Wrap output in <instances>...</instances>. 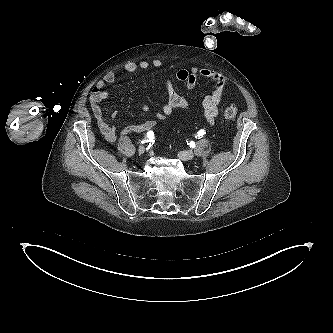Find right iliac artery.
Segmentation results:
<instances>
[{
	"label": "right iliac artery",
	"instance_id": "1",
	"mask_svg": "<svg viewBox=\"0 0 333 333\" xmlns=\"http://www.w3.org/2000/svg\"><path fill=\"white\" fill-rule=\"evenodd\" d=\"M153 138H154V133H153V131H148V132H147V140H145V141H146V142H150V141L153 140ZM142 143H144V142L142 141Z\"/></svg>",
	"mask_w": 333,
	"mask_h": 333
}]
</instances>
